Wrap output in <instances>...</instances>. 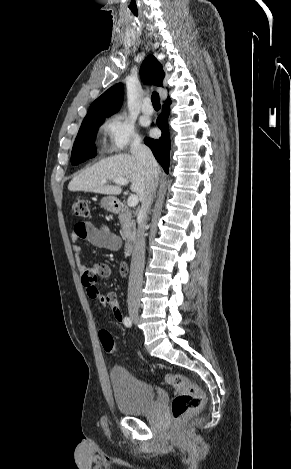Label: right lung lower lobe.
I'll return each instance as SVG.
<instances>
[{
	"instance_id": "1",
	"label": "right lung lower lobe",
	"mask_w": 291,
	"mask_h": 469,
	"mask_svg": "<svg viewBox=\"0 0 291 469\" xmlns=\"http://www.w3.org/2000/svg\"><path fill=\"white\" fill-rule=\"evenodd\" d=\"M171 100L168 97L163 105V111L156 120L157 126L162 131V136L159 139L145 138L144 143L152 150L155 158L161 164L166 173L169 168V150H170V137L168 130L167 118L170 111Z\"/></svg>"
}]
</instances>
